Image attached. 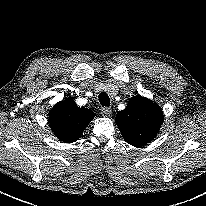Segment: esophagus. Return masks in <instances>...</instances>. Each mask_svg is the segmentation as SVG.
Returning a JSON list of instances; mask_svg holds the SVG:
<instances>
[{"instance_id": "esophagus-1", "label": "esophagus", "mask_w": 206, "mask_h": 206, "mask_svg": "<svg viewBox=\"0 0 206 206\" xmlns=\"http://www.w3.org/2000/svg\"><path fill=\"white\" fill-rule=\"evenodd\" d=\"M101 114L104 117H109L112 115V109L109 107H102L101 108Z\"/></svg>"}]
</instances>
